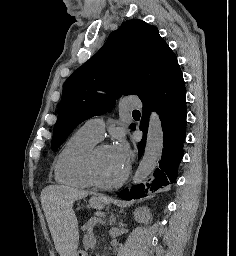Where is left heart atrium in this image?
<instances>
[{"mask_svg": "<svg viewBox=\"0 0 236 256\" xmlns=\"http://www.w3.org/2000/svg\"><path fill=\"white\" fill-rule=\"evenodd\" d=\"M109 150L116 162L121 165L127 164L130 157V145L122 131L118 130L114 133Z\"/></svg>", "mask_w": 236, "mask_h": 256, "instance_id": "left-heart-atrium-1", "label": "left heart atrium"}]
</instances>
